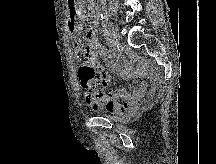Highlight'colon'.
<instances>
[{"label":"colon","instance_id":"obj_1","mask_svg":"<svg viewBox=\"0 0 216 164\" xmlns=\"http://www.w3.org/2000/svg\"><path fill=\"white\" fill-rule=\"evenodd\" d=\"M79 78L82 87L86 91H91L100 86L103 80V73L90 60L86 59L79 69Z\"/></svg>","mask_w":216,"mask_h":164}]
</instances>
